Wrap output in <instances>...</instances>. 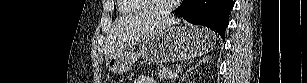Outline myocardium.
Here are the masks:
<instances>
[{
	"label": "myocardium",
	"mask_w": 307,
	"mask_h": 83,
	"mask_svg": "<svg viewBox=\"0 0 307 83\" xmlns=\"http://www.w3.org/2000/svg\"><path fill=\"white\" fill-rule=\"evenodd\" d=\"M140 3L143 4V6L150 11L151 13L155 14V15H167L169 13H171L174 8L178 5V3L180 2V0H172V2L168 3L165 7L162 8H158V9H154L151 7L150 5V1L148 0H138Z\"/></svg>",
	"instance_id": "obj_1"
}]
</instances>
